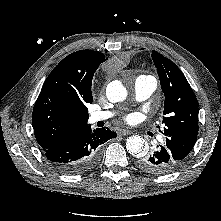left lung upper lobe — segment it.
I'll use <instances>...</instances> for the list:
<instances>
[{"label":"left lung upper lobe","mask_w":221,"mask_h":221,"mask_svg":"<svg viewBox=\"0 0 221 221\" xmlns=\"http://www.w3.org/2000/svg\"><path fill=\"white\" fill-rule=\"evenodd\" d=\"M152 59L165 95V144L182 163L197 139L198 102L184 74L171 60L156 51L152 52Z\"/></svg>","instance_id":"1"}]
</instances>
